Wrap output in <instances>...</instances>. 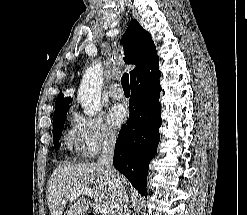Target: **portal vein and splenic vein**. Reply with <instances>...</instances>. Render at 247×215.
<instances>
[{"label":"portal vein and splenic vein","mask_w":247,"mask_h":215,"mask_svg":"<svg viewBox=\"0 0 247 215\" xmlns=\"http://www.w3.org/2000/svg\"><path fill=\"white\" fill-rule=\"evenodd\" d=\"M81 194H84L86 196L92 197L93 193L91 192V190L89 189H84L81 190L79 192H76L72 195H69L67 198L72 201L75 200L78 196H80ZM96 209L102 214V215H106L109 212V207L107 204L102 203V202H96Z\"/></svg>","instance_id":"obj_1"}]
</instances>
